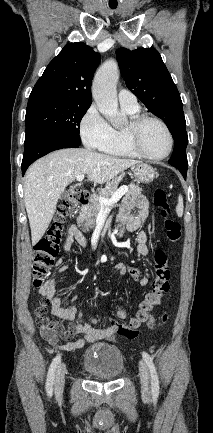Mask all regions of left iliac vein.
<instances>
[{"instance_id": "4c4485c4", "label": "left iliac vein", "mask_w": 213, "mask_h": 433, "mask_svg": "<svg viewBox=\"0 0 213 433\" xmlns=\"http://www.w3.org/2000/svg\"><path fill=\"white\" fill-rule=\"evenodd\" d=\"M139 376L141 381V389L144 397L150 396V375L147 365L143 360L139 361Z\"/></svg>"}]
</instances>
